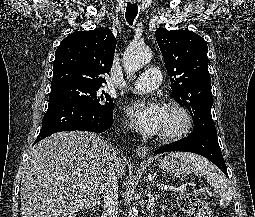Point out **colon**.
<instances>
[{
  "label": "colon",
  "instance_id": "obj_1",
  "mask_svg": "<svg viewBox=\"0 0 255 217\" xmlns=\"http://www.w3.org/2000/svg\"><path fill=\"white\" fill-rule=\"evenodd\" d=\"M178 203L180 208L190 217H215L208 204L192 193L180 194Z\"/></svg>",
  "mask_w": 255,
  "mask_h": 217
}]
</instances>
